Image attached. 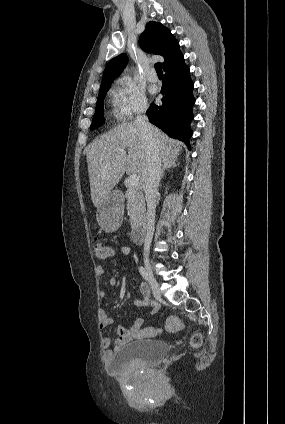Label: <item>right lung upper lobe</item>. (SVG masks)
Segmentation results:
<instances>
[{
    "instance_id": "cb5924a9",
    "label": "right lung upper lobe",
    "mask_w": 285,
    "mask_h": 424,
    "mask_svg": "<svg viewBox=\"0 0 285 424\" xmlns=\"http://www.w3.org/2000/svg\"><path fill=\"white\" fill-rule=\"evenodd\" d=\"M139 45L148 52L161 55L164 58L163 69H167L183 59L179 49V42L173 37L170 30L161 23L151 21L146 25L139 38ZM128 61L127 55L122 53L111 59L106 65L101 87L110 86L119 76Z\"/></svg>"
}]
</instances>
